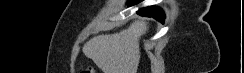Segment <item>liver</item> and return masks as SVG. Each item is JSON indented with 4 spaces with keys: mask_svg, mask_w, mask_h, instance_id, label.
I'll list each match as a JSON object with an SVG mask.
<instances>
[{
    "mask_svg": "<svg viewBox=\"0 0 244 73\" xmlns=\"http://www.w3.org/2000/svg\"><path fill=\"white\" fill-rule=\"evenodd\" d=\"M144 18L135 20L127 29L111 35H99L83 46V53L103 73H137L139 40L148 30Z\"/></svg>",
    "mask_w": 244,
    "mask_h": 73,
    "instance_id": "1",
    "label": "liver"
}]
</instances>
